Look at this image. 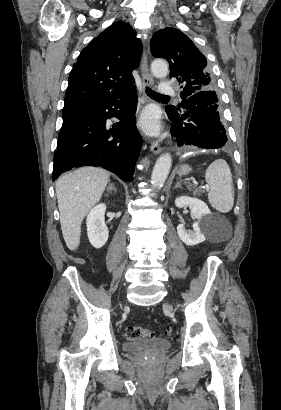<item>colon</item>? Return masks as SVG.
<instances>
[{"mask_svg":"<svg viewBox=\"0 0 281 410\" xmlns=\"http://www.w3.org/2000/svg\"><path fill=\"white\" fill-rule=\"evenodd\" d=\"M172 333V327L168 326L165 330L166 335ZM124 335L127 340H138L144 338L154 337V333L150 330L140 327V326H128L124 330Z\"/></svg>","mask_w":281,"mask_h":410,"instance_id":"1","label":"colon"}]
</instances>
